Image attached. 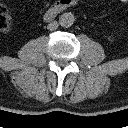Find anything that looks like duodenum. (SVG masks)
<instances>
[{"label":"duodenum","instance_id":"duodenum-1","mask_svg":"<svg viewBox=\"0 0 128 128\" xmlns=\"http://www.w3.org/2000/svg\"><path fill=\"white\" fill-rule=\"evenodd\" d=\"M78 4V0H58L44 14L47 21H52L62 11L74 7Z\"/></svg>","mask_w":128,"mask_h":128}]
</instances>
